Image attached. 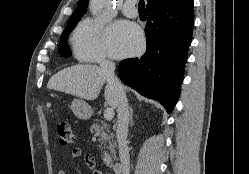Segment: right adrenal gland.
<instances>
[{
	"instance_id": "2a0ac1e0",
	"label": "right adrenal gland",
	"mask_w": 249,
	"mask_h": 174,
	"mask_svg": "<svg viewBox=\"0 0 249 174\" xmlns=\"http://www.w3.org/2000/svg\"><path fill=\"white\" fill-rule=\"evenodd\" d=\"M130 122H131V125H133V109H132V107H130Z\"/></svg>"
}]
</instances>
